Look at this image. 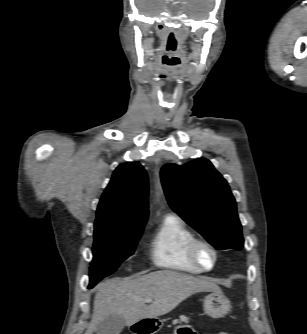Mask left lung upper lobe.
<instances>
[{"instance_id":"obj_1","label":"left lung upper lobe","mask_w":307,"mask_h":334,"mask_svg":"<svg viewBox=\"0 0 307 334\" xmlns=\"http://www.w3.org/2000/svg\"><path fill=\"white\" fill-rule=\"evenodd\" d=\"M161 180L170 207L211 245L218 250L243 247L235 199L209 160L166 164Z\"/></svg>"}]
</instances>
